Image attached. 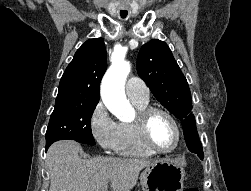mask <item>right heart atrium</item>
<instances>
[{
  "label": "right heart atrium",
  "instance_id": "1",
  "mask_svg": "<svg viewBox=\"0 0 251 191\" xmlns=\"http://www.w3.org/2000/svg\"><path fill=\"white\" fill-rule=\"evenodd\" d=\"M88 125L92 139L101 150H117L120 140L119 123L111 116L103 101H98L92 109Z\"/></svg>",
  "mask_w": 251,
  "mask_h": 191
}]
</instances>
